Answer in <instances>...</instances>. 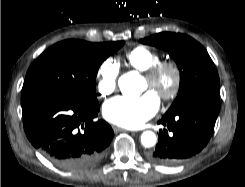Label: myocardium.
<instances>
[{
	"instance_id": "obj_1",
	"label": "myocardium",
	"mask_w": 245,
	"mask_h": 187,
	"mask_svg": "<svg viewBox=\"0 0 245 187\" xmlns=\"http://www.w3.org/2000/svg\"><path fill=\"white\" fill-rule=\"evenodd\" d=\"M172 76V85L169 90L160 92L159 97L165 102L174 100L180 93L182 87V72L180 67L173 61H158L145 71V77L152 87L158 85L160 79L165 75Z\"/></svg>"
}]
</instances>
